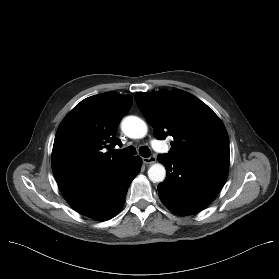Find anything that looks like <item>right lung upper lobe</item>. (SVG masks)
Here are the masks:
<instances>
[{
  "label": "right lung upper lobe",
  "instance_id": "obj_1",
  "mask_svg": "<svg viewBox=\"0 0 279 279\" xmlns=\"http://www.w3.org/2000/svg\"><path fill=\"white\" fill-rule=\"evenodd\" d=\"M131 105V95H95L82 100L66 115L52 151V170L60 191L99 179L129 160L110 156L102 149L122 144L115 133Z\"/></svg>",
  "mask_w": 279,
  "mask_h": 279
}]
</instances>
